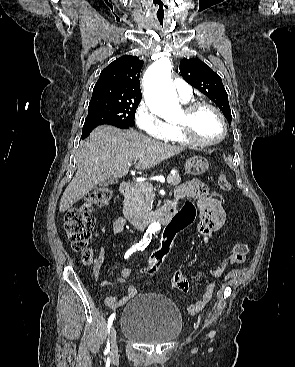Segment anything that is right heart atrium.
<instances>
[{
  "instance_id": "1",
  "label": "right heart atrium",
  "mask_w": 295,
  "mask_h": 367,
  "mask_svg": "<svg viewBox=\"0 0 295 367\" xmlns=\"http://www.w3.org/2000/svg\"><path fill=\"white\" fill-rule=\"evenodd\" d=\"M135 121L139 129L147 135L164 139L169 131V124L163 121L145 102H140L135 112Z\"/></svg>"
}]
</instances>
